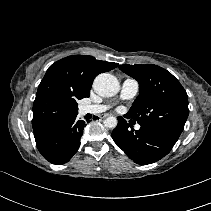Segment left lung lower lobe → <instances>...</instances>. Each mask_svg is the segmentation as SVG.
<instances>
[{
    "label": "left lung lower lobe",
    "instance_id": "obj_1",
    "mask_svg": "<svg viewBox=\"0 0 211 211\" xmlns=\"http://www.w3.org/2000/svg\"><path fill=\"white\" fill-rule=\"evenodd\" d=\"M125 118H128L124 115ZM115 143L135 163L147 165L166 156L175 145L155 130L140 127L139 130L130 129L123 117H118V125L112 132Z\"/></svg>",
    "mask_w": 211,
    "mask_h": 211
}]
</instances>
